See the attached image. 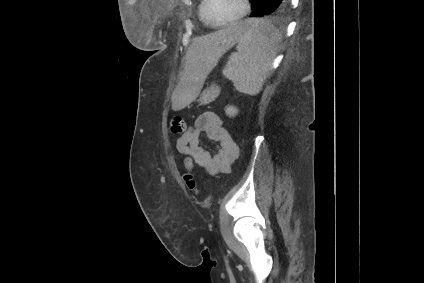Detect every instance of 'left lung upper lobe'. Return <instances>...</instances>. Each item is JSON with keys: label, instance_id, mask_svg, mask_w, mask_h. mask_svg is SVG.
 Here are the masks:
<instances>
[{"label": "left lung upper lobe", "instance_id": "1", "mask_svg": "<svg viewBox=\"0 0 424 283\" xmlns=\"http://www.w3.org/2000/svg\"><path fill=\"white\" fill-rule=\"evenodd\" d=\"M258 0H250V2L252 3V9H254L255 8V5H256V2H257ZM253 12V11H252ZM283 12V10H279V11H277L276 13H274V15H277V14H280V13H282Z\"/></svg>", "mask_w": 424, "mask_h": 283}]
</instances>
